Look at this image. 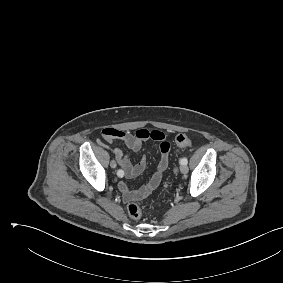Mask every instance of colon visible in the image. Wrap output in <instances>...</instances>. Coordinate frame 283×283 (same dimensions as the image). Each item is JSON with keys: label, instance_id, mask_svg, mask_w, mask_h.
I'll return each mask as SVG.
<instances>
[{"label": "colon", "instance_id": "5ec220e1", "mask_svg": "<svg viewBox=\"0 0 283 283\" xmlns=\"http://www.w3.org/2000/svg\"><path fill=\"white\" fill-rule=\"evenodd\" d=\"M175 143L180 148L190 147L192 145V141L184 134L177 135ZM127 213L130 217L138 219L141 217V208L136 202H130L127 205Z\"/></svg>", "mask_w": 283, "mask_h": 283}]
</instances>
